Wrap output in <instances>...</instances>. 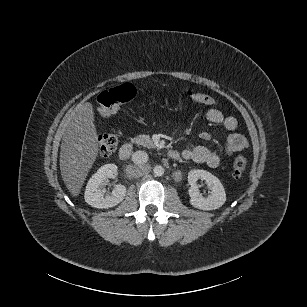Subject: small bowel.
Here are the masks:
<instances>
[{"instance_id": "c3829d8e", "label": "small bowel", "mask_w": 307, "mask_h": 307, "mask_svg": "<svg viewBox=\"0 0 307 307\" xmlns=\"http://www.w3.org/2000/svg\"><path fill=\"white\" fill-rule=\"evenodd\" d=\"M206 118L213 124L222 125L229 132H233L237 128V120L234 117L225 116L216 108L207 110ZM247 146L248 142L242 134L231 133L228 137L227 145L222 152H216L206 146L197 145L193 148L184 149L181 156L186 160L203 163L214 168L217 167L224 158L245 149Z\"/></svg>"}]
</instances>
